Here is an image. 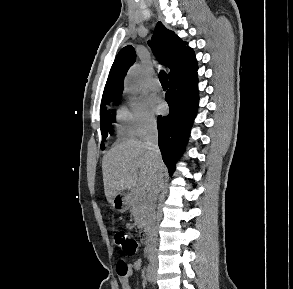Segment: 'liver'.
I'll list each match as a JSON object with an SVG mask.
<instances>
[{"label":"liver","mask_w":293,"mask_h":289,"mask_svg":"<svg viewBox=\"0 0 293 289\" xmlns=\"http://www.w3.org/2000/svg\"><path fill=\"white\" fill-rule=\"evenodd\" d=\"M160 170L166 167L161 161ZM105 196L108 202L127 188L140 186L148 193L156 174L154 159L145 142L129 139L110 149L102 159Z\"/></svg>","instance_id":"liver-1"}]
</instances>
